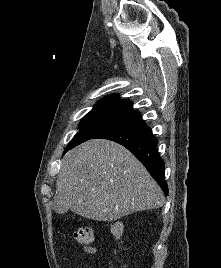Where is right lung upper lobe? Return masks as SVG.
<instances>
[{
    "instance_id": "1",
    "label": "right lung upper lobe",
    "mask_w": 221,
    "mask_h": 268,
    "mask_svg": "<svg viewBox=\"0 0 221 268\" xmlns=\"http://www.w3.org/2000/svg\"><path fill=\"white\" fill-rule=\"evenodd\" d=\"M92 111H102L123 117L126 122L139 119L141 115L132 109V102L119 99L118 95L112 94L104 97Z\"/></svg>"
}]
</instances>
